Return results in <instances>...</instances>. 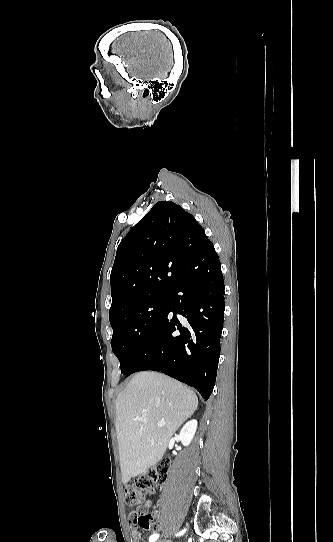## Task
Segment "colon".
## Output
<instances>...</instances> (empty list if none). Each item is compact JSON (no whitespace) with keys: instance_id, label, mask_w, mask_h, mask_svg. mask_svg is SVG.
<instances>
[{"instance_id":"obj_1","label":"colon","mask_w":333,"mask_h":542,"mask_svg":"<svg viewBox=\"0 0 333 542\" xmlns=\"http://www.w3.org/2000/svg\"><path fill=\"white\" fill-rule=\"evenodd\" d=\"M169 468V463L164 461L161 465L152 466L148 471L135 480L133 485H128L125 489V501L130 509L131 524L135 526L145 527L147 514L150 506L146 502L147 494H154L157 487L162 485L166 478V473ZM139 536V533H136Z\"/></svg>"}]
</instances>
